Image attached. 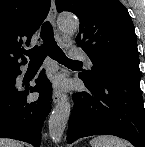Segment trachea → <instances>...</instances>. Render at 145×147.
Segmentation results:
<instances>
[{
  "instance_id": "3493384b",
  "label": "trachea",
  "mask_w": 145,
  "mask_h": 147,
  "mask_svg": "<svg viewBox=\"0 0 145 147\" xmlns=\"http://www.w3.org/2000/svg\"><path fill=\"white\" fill-rule=\"evenodd\" d=\"M40 37L43 40L42 46H35L28 51H24L30 58V65H41L47 54L52 59L66 66L79 63L78 61L70 60L65 56L54 39L53 28L49 22H45L42 25Z\"/></svg>"
}]
</instances>
